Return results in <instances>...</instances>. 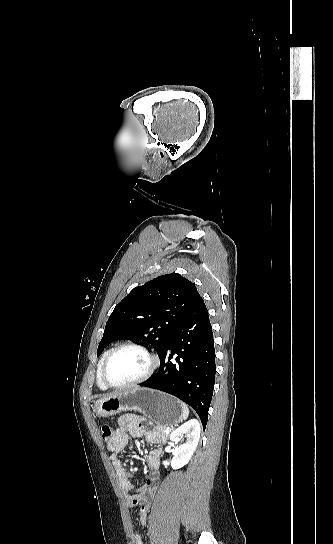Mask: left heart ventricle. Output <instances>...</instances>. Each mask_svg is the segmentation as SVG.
<instances>
[{
  "mask_svg": "<svg viewBox=\"0 0 333 544\" xmlns=\"http://www.w3.org/2000/svg\"><path fill=\"white\" fill-rule=\"evenodd\" d=\"M148 367L147 357L135 349H122L110 360L106 375L113 384H123L141 376Z\"/></svg>",
  "mask_w": 333,
  "mask_h": 544,
  "instance_id": "left-heart-ventricle-1",
  "label": "left heart ventricle"
}]
</instances>
